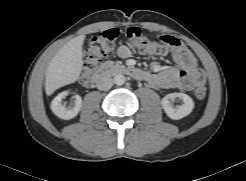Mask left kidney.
<instances>
[{"mask_svg": "<svg viewBox=\"0 0 246 181\" xmlns=\"http://www.w3.org/2000/svg\"><path fill=\"white\" fill-rule=\"evenodd\" d=\"M175 98L181 99L183 101V104L174 107L172 101ZM161 104L167 116L174 120H179L189 115L194 108L193 100L190 96L184 93L168 94L162 99Z\"/></svg>", "mask_w": 246, "mask_h": 181, "instance_id": "obj_1", "label": "left kidney"}]
</instances>
